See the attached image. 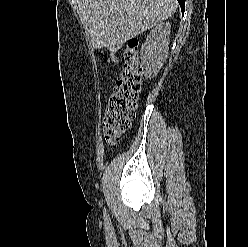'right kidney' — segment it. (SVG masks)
<instances>
[{
    "label": "right kidney",
    "mask_w": 248,
    "mask_h": 247,
    "mask_svg": "<svg viewBox=\"0 0 248 247\" xmlns=\"http://www.w3.org/2000/svg\"><path fill=\"white\" fill-rule=\"evenodd\" d=\"M170 31L169 22L157 24L142 45L140 55L145 77L154 78L163 66L168 55Z\"/></svg>",
    "instance_id": "right-kidney-1"
}]
</instances>
